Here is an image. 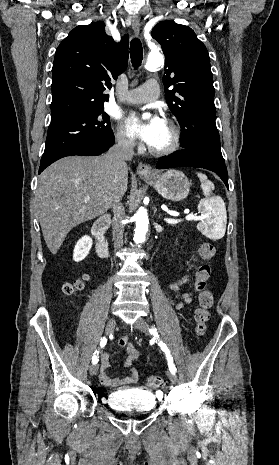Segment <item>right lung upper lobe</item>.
<instances>
[{"instance_id":"right-lung-upper-lobe-1","label":"right lung upper lobe","mask_w":279,"mask_h":465,"mask_svg":"<svg viewBox=\"0 0 279 465\" xmlns=\"http://www.w3.org/2000/svg\"><path fill=\"white\" fill-rule=\"evenodd\" d=\"M128 35L116 43L101 21L74 28L57 48L52 68L51 124L102 107L111 79L127 67Z\"/></svg>"}]
</instances>
